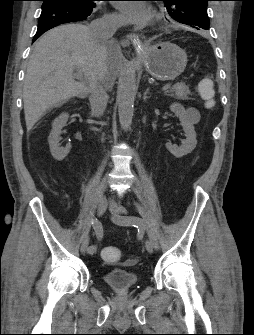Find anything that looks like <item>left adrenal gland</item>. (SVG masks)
<instances>
[{
  "label": "left adrenal gland",
  "mask_w": 254,
  "mask_h": 335,
  "mask_svg": "<svg viewBox=\"0 0 254 335\" xmlns=\"http://www.w3.org/2000/svg\"><path fill=\"white\" fill-rule=\"evenodd\" d=\"M148 92H149V88H147L146 91H145L144 94H143V100H144V101L147 100V99L149 98V96H148Z\"/></svg>",
  "instance_id": "obj_1"
}]
</instances>
